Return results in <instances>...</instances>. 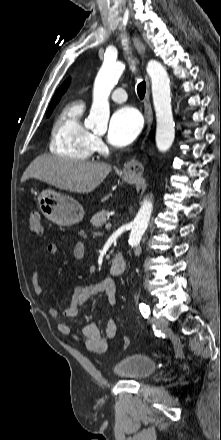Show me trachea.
<instances>
[{
	"instance_id": "trachea-1",
	"label": "trachea",
	"mask_w": 221,
	"mask_h": 440,
	"mask_svg": "<svg viewBox=\"0 0 221 440\" xmlns=\"http://www.w3.org/2000/svg\"><path fill=\"white\" fill-rule=\"evenodd\" d=\"M146 92V83L145 81H142L137 86V93L140 99H143Z\"/></svg>"
}]
</instances>
